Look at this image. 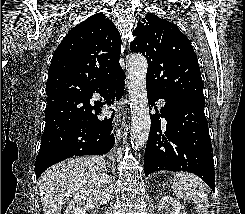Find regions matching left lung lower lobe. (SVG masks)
Instances as JSON below:
<instances>
[{
  "mask_svg": "<svg viewBox=\"0 0 245 214\" xmlns=\"http://www.w3.org/2000/svg\"><path fill=\"white\" fill-rule=\"evenodd\" d=\"M147 96L151 106L159 98L166 104L160 114L151 115L145 149V175L160 170L191 172L214 191L213 149L204 114L205 101L170 100L149 88ZM161 117L167 121L166 128H161Z\"/></svg>",
  "mask_w": 245,
  "mask_h": 214,
  "instance_id": "0a47b994",
  "label": "left lung lower lobe"
}]
</instances>
